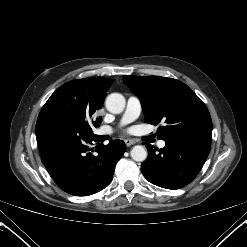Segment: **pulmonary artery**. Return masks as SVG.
Listing matches in <instances>:
<instances>
[{
	"instance_id": "1",
	"label": "pulmonary artery",
	"mask_w": 247,
	"mask_h": 247,
	"mask_svg": "<svg viewBox=\"0 0 247 247\" xmlns=\"http://www.w3.org/2000/svg\"><path fill=\"white\" fill-rule=\"evenodd\" d=\"M141 113V102L138 97L136 96H130L127 99V105L126 109L124 111V114L121 118L120 124L126 125L128 123L133 122L136 120ZM158 147L163 148L165 146V141L160 140L157 143Z\"/></svg>"
}]
</instances>
